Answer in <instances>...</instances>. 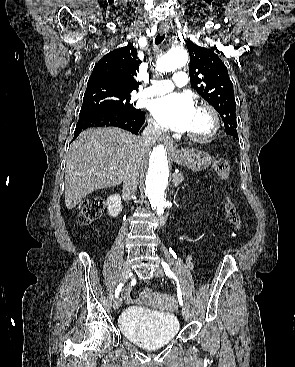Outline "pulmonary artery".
<instances>
[{"mask_svg": "<svg viewBox=\"0 0 295 367\" xmlns=\"http://www.w3.org/2000/svg\"><path fill=\"white\" fill-rule=\"evenodd\" d=\"M188 83V75L184 71L174 73L172 80H156L153 84L140 93L142 97H154L166 94L175 86L183 87Z\"/></svg>", "mask_w": 295, "mask_h": 367, "instance_id": "pulmonary-artery-1", "label": "pulmonary artery"}]
</instances>
